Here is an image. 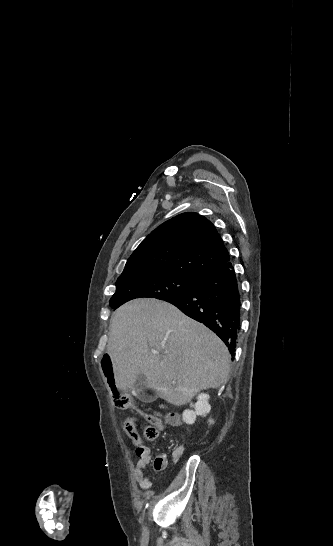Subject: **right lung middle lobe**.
I'll return each instance as SVG.
<instances>
[{
  "label": "right lung middle lobe",
  "mask_w": 333,
  "mask_h": 546,
  "mask_svg": "<svg viewBox=\"0 0 333 546\" xmlns=\"http://www.w3.org/2000/svg\"><path fill=\"white\" fill-rule=\"evenodd\" d=\"M199 280L172 272L121 274L116 282V292L110 299V306L116 309L141 297L164 300L191 290Z\"/></svg>",
  "instance_id": "right-lung-middle-lobe-1"
}]
</instances>
